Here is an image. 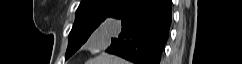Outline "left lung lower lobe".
Listing matches in <instances>:
<instances>
[{
	"label": "left lung lower lobe",
	"mask_w": 242,
	"mask_h": 64,
	"mask_svg": "<svg viewBox=\"0 0 242 64\" xmlns=\"http://www.w3.org/2000/svg\"><path fill=\"white\" fill-rule=\"evenodd\" d=\"M121 24L106 53L135 64H160L172 21L171 0H125L106 19Z\"/></svg>",
	"instance_id": "1"
}]
</instances>
